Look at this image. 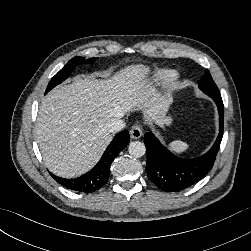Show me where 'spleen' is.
Wrapping results in <instances>:
<instances>
[{
  "label": "spleen",
  "instance_id": "spleen-1",
  "mask_svg": "<svg viewBox=\"0 0 251 251\" xmlns=\"http://www.w3.org/2000/svg\"><path fill=\"white\" fill-rule=\"evenodd\" d=\"M169 148L175 153H182L188 149V144L179 140L173 141L169 144Z\"/></svg>",
  "mask_w": 251,
  "mask_h": 251
}]
</instances>
